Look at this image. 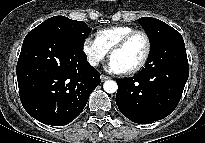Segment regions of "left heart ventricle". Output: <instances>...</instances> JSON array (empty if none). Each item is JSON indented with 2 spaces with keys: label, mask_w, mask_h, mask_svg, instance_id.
Returning a JSON list of instances; mask_svg holds the SVG:
<instances>
[{
  "label": "left heart ventricle",
  "mask_w": 205,
  "mask_h": 143,
  "mask_svg": "<svg viewBox=\"0 0 205 143\" xmlns=\"http://www.w3.org/2000/svg\"><path fill=\"white\" fill-rule=\"evenodd\" d=\"M145 49L144 37L136 35L122 50L114 53L111 58L117 61L125 70H128L140 62Z\"/></svg>",
  "instance_id": "left-heart-ventricle-1"
}]
</instances>
